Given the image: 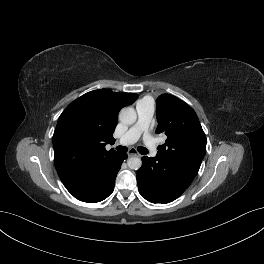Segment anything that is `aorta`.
I'll return each instance as SVG.
<instances>
[{
  "mask_svg": "<svg viewBox=\"0 0 264 264\" xmlns=\"http://www.w3.org/2000/svg\"><path fill=\"white\" fill-rule=\"evenodd\" d=\"M137 114L134 108L132 107H124L121 109L119 113V120L126 125H131L136 122ZM128 167L132 170H138L142 161L138 157H130L127 161Z\"/></svg>",
  "mask_w": 264,
  "mask_h": 264,
  "instance_id": "obj_1",
  "label": "aorta"
}]
</instances>
